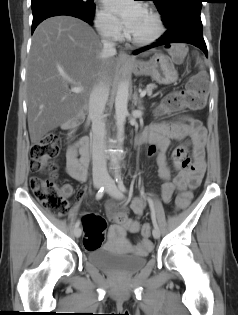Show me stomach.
<instances>
[{"label":"stomach","instance_id":"0dacf381","mask_svg":"<svg viewBox=\"0 0 238 315\" xmlns=\"http://www.w3.org/2000/svg\"><path fill=\"white\" fill-rule=\"evenodd\" d=\"M140 64H143V71H139V75L151 76L159 84H170L178 79L175 67L164 54L156 53Z\"/></svg>","mask_w":238,"mask_h":315}]
</instances>
